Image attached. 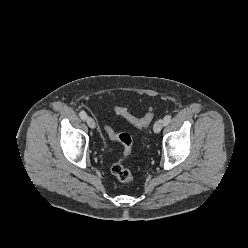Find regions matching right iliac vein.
<instances>
[{
    "mask_svg": "<svg viewBox=\"0 0 248 248\" xmlns=\"http://www.w3.org/2000/svg\"><path fill=\"white\" fill-rule=\"evenodd\" d=\"M86 123L91 129H94L96 127V123L92 117H87Z\"/></svg>",
    "mask_w": 248,
    "mask_h": 248,
    "instance_id": "63e3f726",
    "label": "right iliac vein"
}]
</instances>
